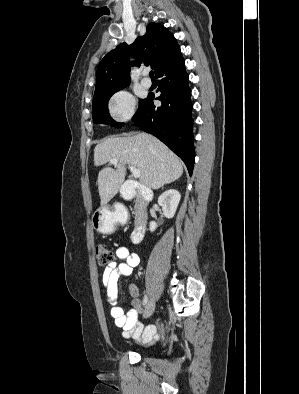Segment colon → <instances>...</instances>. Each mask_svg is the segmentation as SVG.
I'll return each instance as SVG.
<instances>
[{"mask_svg": "<svg viewBox=\"0 0 299 394\" xmlns=\"http://www.w3.org/2000/svg\"><path fill=\"white\" fill-rule=\"evenodd\" d=\"M95 255L97 263L100 266H107L114 261V254L111 248L107 245L100 244L95 248Z\"/></svg>", "mask_w": 299, "mask_h": 394, "instance_id": "obj_1", "label": "colon"}]
</instances>
